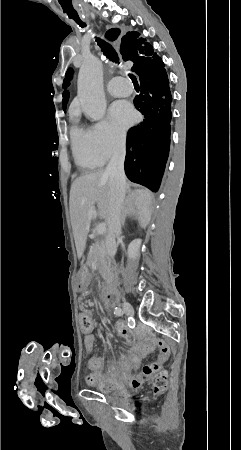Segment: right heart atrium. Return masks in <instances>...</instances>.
<instances>
[{
	"label": "right heart atrium",
	"instance_id": "d8ad5b80",
	"mask_svg": "<svg viewBox=\"0 0 241 450\" xmlns=\"http://www.w3.org/2000/svg\"><path fill=\"white\" fill-rule=\"evenodd\" d=\"M91 147L93 152L102 160L107 161L115 155H127L124 146L126 135L115 128L108 121L102 120L92 128Z\"/></svg>",
	"mask_w": 241,
	"mask_h": 450
}]
</instances>
